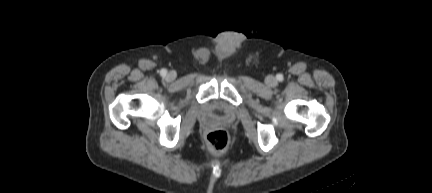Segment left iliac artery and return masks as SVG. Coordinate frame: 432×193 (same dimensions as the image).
<instances>
[{
    "mask_svg": "<svg viewBox=\"0 0 432 193\" xmlns=\"http://www.w3.org/2000/svg\"><path fill=\"white\" fill-rule=\"evenodd\" d=\"M277 79H278L279 81H282V80H283V76H282L281 74H278V75H277Z\"/></svg>",
    "mask_w": 432,
    "mask_h": 193,
    "instance_id": "left-iliac-artery-1",
    "label": "left iliac artery"
}]
</instances>
